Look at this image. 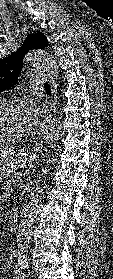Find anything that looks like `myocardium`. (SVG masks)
Segmentation results:
<instances>
[{"label":"myocardium","instance_id":"obj_1","mask_svg":"<svg viewBox=\"0 0 113 279\" xmlns=\"http://www.w3.org/2000/svg\"><path fill=\"white\" fill-rule=\"evenodd\" d=\"M13 105V106H23L24 103L22 100L16 98H0V105ZM29 134L27 130L25 133L16 136V137H4L0 136V144H11V143H18L24 140Z\"/></svg>","mask_w":113,"mask_h":279}]
</instances>
